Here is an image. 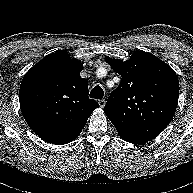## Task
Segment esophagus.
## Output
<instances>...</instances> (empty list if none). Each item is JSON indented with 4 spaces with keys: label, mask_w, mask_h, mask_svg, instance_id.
<instances>
[{
    "label": "esophagus",
    "mask_w": 193,
    "mask_h": 193,
    "mask_svg": "<svg viewBox=\"0 0 193 193\" xmlns=\"http://www.w3.org/2000/svg\"><path fill=\"white\" fill-rule=\"evenodd\" d=\"M98 103H99V106H100L101 108H104V107H105V104H106V101H105L104 99H101V100L98 101Z\"/></svg>",
    "instance_id": "obj_1"
}]
</instances>
